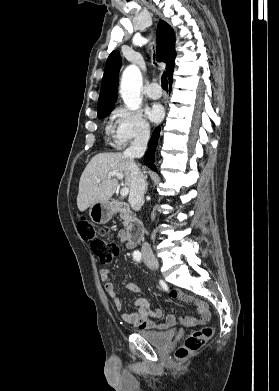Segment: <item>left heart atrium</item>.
Masks as SVG:
<instances>
[{
	"mask_svg": "<svg viewBox=\"0 0 279 391\" xmlns=\"http://www.w3.org/2000/svg\"><path fill=\"white\" fill-rule=\"evenodd\" d=\"M164 114L163 107L158 104L154 103L147 109V115L149 119L153 122H158L162 119Z\"/></svg>",
	"mask_w": 279,
	"mask_h": 391,
	"instance_id": "1",
	"label": "left heart atrium"
}]
</instances>
